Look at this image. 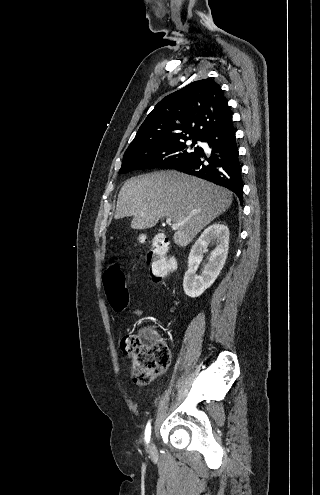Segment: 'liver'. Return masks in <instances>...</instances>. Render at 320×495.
<instances>
[{
	"label": "liver",
	"instance_id": "obj_1",
	"mask_svg": "<svg viewBox=\"0 0 320 495\" xmlns=\"http://www.w3.org/2000/svg\"><path fill=\"white\" fill-rule=\"evenodd\" d=\"M232 201V193L225 188L175 171H161L127 180L119 192L114 217H133V229H149L160 218L170 217L177 226L174 242L184 247Z\"/></svg>",
	"mask_w": 320,
	"mask_h": 495
}]
</instances>
